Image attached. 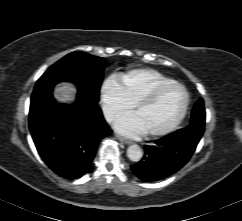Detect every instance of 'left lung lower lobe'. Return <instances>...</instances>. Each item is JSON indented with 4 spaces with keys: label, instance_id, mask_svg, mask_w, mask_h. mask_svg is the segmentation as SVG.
<instances>
[{
    "label": "left lung lower lobe",
    "instance_id": "left-lung-lower-lobe-1",
    "mask_svg": "<svg viewBox=\"0 0 242 221\" xmlns=\"http://www.w3.org/2000/svg\"><path fill=\"white\" fill-rule=\"evenodd\" d=\"M202 135L194 128H184L146 145L142 160L131 166L132 172L144 182L174 174L191 158Z\"/></svg>",
    "mask_w": 242,
    "mask_h": 221
}]
</instances>
